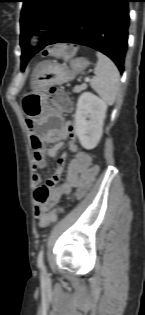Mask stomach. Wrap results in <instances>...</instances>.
Instances as JSON below:
<instances>
[{"instance_id": "1", "label": "stomach", "mask_w": 145, "mask_h": 315, "mask_svg": "<svg viewBox=\"0 0 145 315\" xmlns=\"http://www.w3.org/2000/svg\"><path fill=\"white\" fill-rule=\"evenodd\" d=\"M88 66V61L82 57L73 59L69 66L57 62L45 61L36 77L38 91H28L22 94L21 112H25L29 120H36L44 115V102H41V91H47L51 85H59L73 80Z\"/></svg>"}]
</instances>
